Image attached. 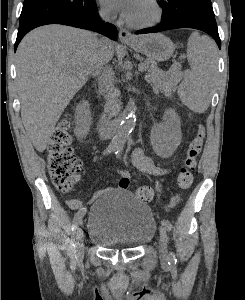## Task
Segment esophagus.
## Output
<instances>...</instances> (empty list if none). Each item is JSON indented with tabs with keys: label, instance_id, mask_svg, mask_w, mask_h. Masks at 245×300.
<instances>
[{
	"label": "esophagus",
	"instance_id": "1",
	"mask_svg": "<svg viewBox=\"0 0 245 300\" xmlns=\"http://www.w3.org/2000/svg\"><path fill=\"white\" fill-rule=\"evenodd\" d=\"M135 39H136L135 36L131 32H129L126 29H120L119 40L121 42H131L134 41Z\"/></svg>",
	"mask_w": 245,
	"mask_h": 300
}]
</instances>
